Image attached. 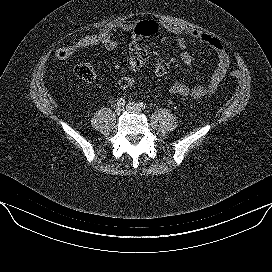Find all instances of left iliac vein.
<instances>
[{"label":"left iliac vein","instance_id":"obj_1","mask_svg":"<svg viewBox=\"0 0 272 272\" xmlns=\"http://www.w3.org/2000/svg\"><path fill=\"white\" fill-rule=\"evenodd\" d=\"M126 109L128 111H132V112H137V113L141 112V108H140L139 104L134 103V102L128 103L126 105Z\"/></svg>","mask_w":272,"mask_h":272}]
</instances>
